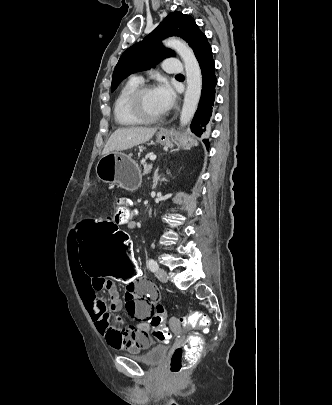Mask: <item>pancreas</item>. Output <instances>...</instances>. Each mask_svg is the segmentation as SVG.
Returning <instances> with one entry per match:
<instances>
[{"instance_id": "cf45deb5", "label": "pancreas", "mask_w": 332, "mask_h": 405, "mask_svg": "<svg viewBox=\"0 0 332 405\" xmlns=\"http://www.w3.org/2000/svg\"><path fill=\"white\" fill-rule=\"evenodd\" d=\"M152 168V164H143V175L149 174L150 170Z\"/></svg>"}]
</instances>
